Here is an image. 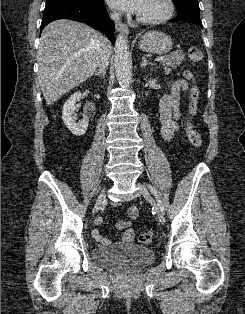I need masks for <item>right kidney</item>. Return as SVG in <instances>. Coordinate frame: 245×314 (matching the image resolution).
Wrapping results in <instances>:
<instances>
[{
    "label": "right kidney",
    "mask_w": 245,
    "mask_h": 314,
    "mask_svg": "<svg viewBox=\"0 0 245 314\" xmlns=\"http://www.w3.org/2000/svg\"><path fill=\"white\" fill-rule=\"evenodd\" d=\"M81 98L80 92H75L64 104L62 111V119L66 127L76 136L85 134L88 128V117L83 116V119L76 123V102Z\"/></svg>",
    "instance_id": "1"
}]
</instances>
